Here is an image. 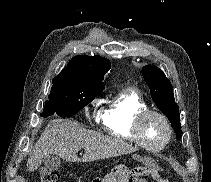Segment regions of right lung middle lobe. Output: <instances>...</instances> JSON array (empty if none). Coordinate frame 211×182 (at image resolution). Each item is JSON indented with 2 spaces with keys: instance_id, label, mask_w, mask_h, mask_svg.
Instances as JSON below:
<instances>
[{
  "instance_id": "obj_1",
  "label": "right lung middle lobe",
  "mask_w": 211,
  "mask_h": 182,
  "mask_svg": "<svg viewBox=\"0 0 211 182\" xmlns=\"http://www.w3.org/2000/svg\"><path fill=\"white\" fill-rule=\"evenodd\" d=\"M52 83L49 100L45 102L41 114L43 117L53 114L72 117L103 91L95 86L59 76H56Z\"/></svg>"
}]
</instances>
